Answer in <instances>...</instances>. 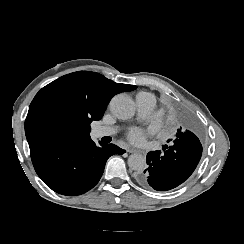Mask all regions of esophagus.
<instances>
[{
  "instance_id": "34e87169",
  "label": "esophagus",
  "mask_w": 244,
  "mask_h": 244,
  "mask_svg": "<svg viewBox=\"0 0 244 244\" xmlns=\"http://www.w3.org/2000/svg\"><path fill=\"white\" fill-rule=\"evenodd\" d=\"M126 151L129 152V153H139V154H141L143 156L146 155L144 151L136 150V149L131 148V147H127Z\"/></svg>"
}]
</instances>
